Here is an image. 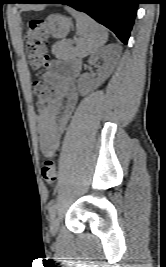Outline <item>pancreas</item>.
I'll return each instance as SVG.
<instances>
[{
  "mask_svg": "<svg viewBox=\"0 0 166 267\" xmlns=\"http://www.w3.org/2000/svg\"><path fill=\"white\" fill-rule=\"evenodd\" d=\"M52 53L60 59H69L74 56V51L70 43L57 42L52 47Z\"/></svg>",
  "mask_w": 166,
  "mask_h": 267,
  "instance_id": "obj_1",
  "label": "pancreas"
}]
</instances>
